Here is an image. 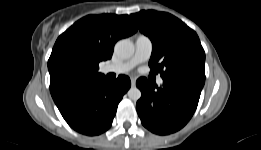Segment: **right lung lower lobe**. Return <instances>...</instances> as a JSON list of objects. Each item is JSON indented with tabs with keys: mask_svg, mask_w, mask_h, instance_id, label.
I'll return each mask as SVG.
<instances>
[{
	"mask_svg": "<svg viewBox=\"0 0 261 150\" xmlns=\"http://www.w3.org/2000/svg\"><path fill=\"white\" fill-rule=\"evenodd\" d=\"M131 86L129 77L105 78L75 89L55 100L65 121L85 135H98L108 130L117 106Z\"/></svg>",
	"mask_w": 261,
	"mask_h": 150,
	"instance_id": "right-lung-lower-lobe-1",
	"label": "right lung lower lobe"
}]
</instances>
